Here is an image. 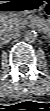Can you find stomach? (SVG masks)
Instances as JSON below:
<instances>
[{
  "instance_id": "stomach-1",
  "label": "stomach",
  "mask_w": 50,
  "mask_h": 111,
  "mask_svg": "<svg viewBox=\"0 0 50 111\" xmlns=\"http://www.w3.org/2000/svg\"><path fill=\"white\" fill-rule=\"evenodd\" d=\"M9 2H15V0H8ZM16 4H8L4 12L7 15H19L25 13H34L43 10L46 5L45 0H18ZM8 2V3H9Z\"/></svg>"
}]
</instances>
